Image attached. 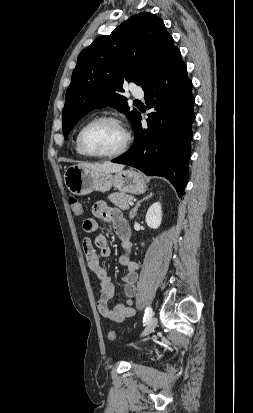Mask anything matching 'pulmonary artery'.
Masks as SVG:
<instances>
[{"label":"pulmonary artery","instance_id":"e3ab8cb5","mask_svg":"<svg viewBox=\"0 0 253 413\" xmlns=\"http://www.w3.org/2000/svg\"><path fill=\"white\" fill-rule=\"evenodd\" d=\"M132 95L136 98H142L144 96V92L140 87H134L132 89Z\"/></svg>","mask_w":253,"mask_h":413}]
</instances>
